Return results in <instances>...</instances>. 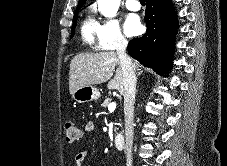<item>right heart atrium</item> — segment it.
<instances>
[{
  "label": "right heart atrium",
  "instance_id": "right-heart-atrium-1",
  "mask_svg": "<svg viewBox=\"0 0 227 166\" xmlns=\"http://www.w3.org/2000/svg\"><path fill=\"white\" fill-rule=\"evenodd\" d=\"M97 40L104 50H113L126 44L119 22L115 18H103L97 22Z\"/></svg>",
  "mask_w": 227,
  "mask_h": 166
}]
</instances>
